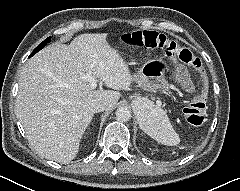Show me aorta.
<instances>
[{"mask_svg":"<svg viewBox=\"0 0 240 191\" xmlns=\"http://www.w3.org/2000/svg\"><path fill=\"white\" fill-rule=\"evenodd\" d=\"M141 103L145 109L150 105V102L146 99H141ZM116 118L118 121L127 122L131 119V111L128 107L121 106L116 110Z\"/></svg>","mask_w":240,"mask_h":191,"instance_id":"762f6f07","label":"aorta"}]
</instances>
